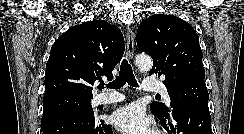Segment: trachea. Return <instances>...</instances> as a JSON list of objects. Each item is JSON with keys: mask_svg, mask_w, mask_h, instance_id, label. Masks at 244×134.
<instances>
[{"mask_svg": "<svg viewBox=\"0 0 244 134\" xmlns=\"http://www.w3.org/2000/svg\"><path fill=\"white\" fill-rule=\"evenodd\" d=\"M126 83H128L132 87H138L131 65L128 63L126 59H124L120 65V72L118 77H116L115 80L110 82L107 88L119 89L123 87ZM98 88L100 90L104 89V84H100ZM156 97H160V95L157 94Z\"/></svg>", "mask_w": 244, "mask_h": 134, "instance_id": "obj_1", "label": "trachea"}]
</instances>
